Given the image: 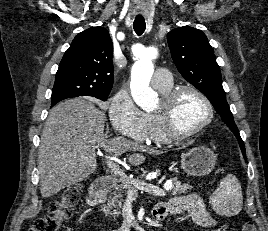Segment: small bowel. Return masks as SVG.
I'll return each instance as SVG.
<instances>
[{
    "label": "small bowel",
    "instance_id": "1",
    "mask_svg": "<svg viewBox=\"0 0 268 231\" xmlns=\"http://www.w3.org/2000/svg\"><path fill=\"white\" fill-rule=\"evenodd\" d=\"M168 214H188L196 224L203 227H212L215 224L214 217L197 194L174 196L153 211L154 217L158 220L164 219Z\"/></svg>",
    "mask_w": 268,
    "mask_h": 231
}]
</instances>
